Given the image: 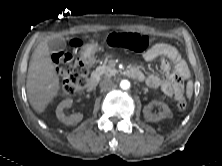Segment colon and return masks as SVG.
I'll use <instances>...</instances> for the list:
<instances>
[{
	"instance_id": "colon-1",
	"label": "colon",
	"mask_w": 222,
	"mask_h": 166,
	"mask_svg": "<svg viewBox=\"0 0 222 166\" xmlns=\"http://www.w3.org/2000/svg\"><path fill=\"white\" fill-rule=\"evenodd\" d=\"M111 47L126 48L135 52H141L149 45V38L137 33H112L107 38ZM80 43L75 41L73 46ZM54 64L63 78V94L66 96L76 95L83 91L87 83L86 65L79 59L66 52H58L53 56ZM177 107L185 110L187 102L185 98L178 99Z\"/></svg>"
}]
</instances>
